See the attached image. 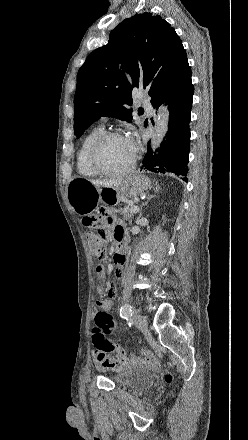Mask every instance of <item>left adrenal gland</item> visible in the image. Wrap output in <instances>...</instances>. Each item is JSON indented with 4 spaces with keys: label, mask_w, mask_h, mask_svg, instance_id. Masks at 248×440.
Returning <instances> with one entry per match:
<instances>
[{
    "label": "left adrenal gland",
    "mask_w": 248,
    "mask_h": 440,
    "mask_svg": "<svg viewBox=\"0 0 248 440\" xmlns=\"http://www.w3.org/2000/svg\"><path fill=\"white\" fill-rule=\"evenodd\" d=\"M154 196H150V197H148L147 198V202L143 205V206H145L147 203H148V201H150V199H152ZM141 216H142V207H141V209H140V212H139V216H138V218H141Z\"/></svg>",
    "instance_id": "left-adrenal-gland-1"
}]
</instances>
